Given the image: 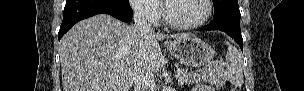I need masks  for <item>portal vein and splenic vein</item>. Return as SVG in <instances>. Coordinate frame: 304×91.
Listing matches in <instances>:
<instances>
[{
  "label": "portal vein and splenic vein",
  "instance_id": "1",
  "mask_svg": "<svg viewBox=\"0 0 304 91\" xmlns=\"http://www.w3.org/2000/svg\"><path fill=\"white\" fill-rule=\"evenodd\" d=\"M183 80H184V77H179L178 82H179L180 84H182V83H183Z\"/></svg>",
  "mask_w": 304,
  "mask_h": 91
}]
</instances>
